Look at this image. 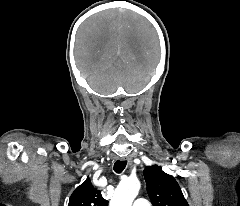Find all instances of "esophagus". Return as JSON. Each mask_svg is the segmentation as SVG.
<instances>
[{
    "label": "esophagus",
    "instance_id": "34e87169",
    "mask_svg": "<svg viewBox=\"0 0 240 206\" xmlns=\"http://www.w3.org/2000/svg\"><path fill=\"white\" fill-rule=\"evenodd\" d=\"M122 161H127L128 164H131L132 163V158L130 157H126V158H120Z\"/></svg>",
    "mask_w": 240,
    "mask_h": 206
}]
</instances>
